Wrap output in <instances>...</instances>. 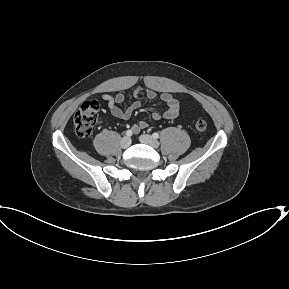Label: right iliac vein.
Segmentation results:
<instances>
[{
	"label": "right iliac vein",
	"mask_w": 289,
	"mask_h": 289,
	"mask_svg": "<svg viewBox=\"0 0 289 289\" xmlns=\"http://www.w3.org/2000/svg\"><path fill=\"white\" fill-rule=\"evenodd\" d=\"M131 145V139L129 137H123L120 141V146L123 148V149H126L128 148L129 146Z\"/></svg>",
	"instance_id": "63e3f726"
}]
</instances>
